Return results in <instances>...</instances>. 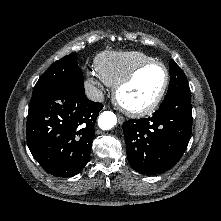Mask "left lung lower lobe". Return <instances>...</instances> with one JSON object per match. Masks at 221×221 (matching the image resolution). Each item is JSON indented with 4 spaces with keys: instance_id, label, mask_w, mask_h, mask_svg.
Segmentation results:
<instances>
[{
    "instance_id": "0a47b994",
    "label": "left lung lower lobe",
    "mask_w": 221,
    "mask_h": 221,
    "mask_svg": "<svg viewBox=\"0 0 221 221\" xmlns=\"http://www.w3.org/2000/svg\"><path fill=\"white\" fill-rule=\"evenodd\" d=\"M192 128L189 90L166 98L152 117L131 119L123 124L127 158L141 174H160L182 157Z\"/></svg>"
}]
</instances>
